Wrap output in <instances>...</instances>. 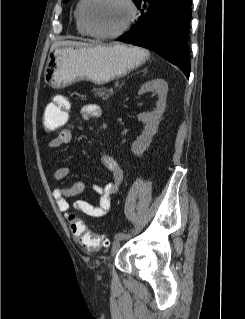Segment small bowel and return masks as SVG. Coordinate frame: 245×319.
Returning <instances> with one entry per match:
<instances>
[{
  "mask_svg": "<svg viewBox=\"0 0 245 319\" xmlns=\"http://www.w3.org/2000/svg\"><path fill=\"white\" fill-rule=\"evenodd\" d=\"M56 97L52 103L47 107L53 105L57 99ZM101 108L96 104H87L83 106L81 115L86 121L97 120L101 117ZM73 131L70 125L63 128L54 138L51 139L49 147L53 150L59 149L67 145L72 140ZM101 164L112 174V179L104 185H96L94 189L100 193V199L97 204H93L84 199H78L73 203V208L85 215L91 217H101L105 215L111 206V197L115 195L123 180V171L115 158L109 154L101 156ZM69 168L66 166L58 167L54 172V178L58 181L64 180L69 175ZM84 183L81 181L75 182L72 186H58L53 191V196L58 209L61 213H67L70 210L69 198L81 194L84 190Z\"/></svg>",
  "mask_w": 245,
  "mask_h": 319,
  "instance_id": "small-bowel-1",
  "label": "small bowel"
}]
</instances>
